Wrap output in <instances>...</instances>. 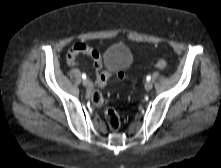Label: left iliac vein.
<instances>
[{
    "label": "left iliac vein",
    "mask_w": 221,
    "mask_h": 168,
    "mask_svg": "<svg viewBox=\"0 0 221 168\" xmlns=\"http://www.w3.org/2000/svg\"><path fill=\"white\" fill-rule=\"evenodd\" d=\"M152 87H153V84L150 81H147L144 85V88L146 91H150L152 89Z\"/></svg>",
    "instance_id": "1"
}]
</instances>
